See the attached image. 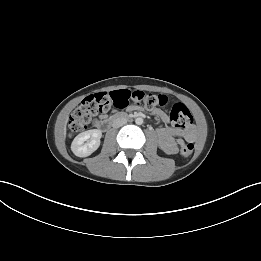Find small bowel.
Here are the masks:
<instances>
[{
    "label": "small bowel",
    "instance_id": "small-bowel-1",
    "mask_svg": "<svg viewBox=\"0 0 261 261\" xmlns=\"http://www.w3.org/2000/svg\"><path fill=\"white\" fill-rule=\"evenodd\" d=\"M152 113L163 122H170L169 116L162 110L154 109ZM100 118H103V116H100ZM156 137L162 150L169 154H175L179 147L184 144L181 137H184L187 141H193L195 139V130L193 128L181 129L174 126H167L157 129Z\"/></svg>",
    "mask_w": 261,
    "mask_h": 261
}]
</instances>
